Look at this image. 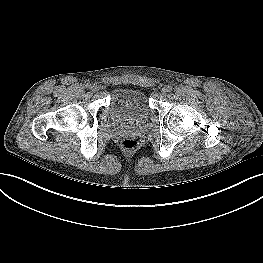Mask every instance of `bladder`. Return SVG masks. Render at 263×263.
Instances as JSON below:
<instances>
[{"instance_id": "obj_1", "label": "bladder", "mask_w": 263, "mask_h": 263, "mask_svg": "<svg viewBox=\"0 0 263 263\" xmlns=\"http://www.w3.org/2000/svg\"><path fill=\"white\" fill-rule=\"evenodd\" d=\"M109 114L112 120L120 125L145 122L150 116L145 93L139 89H115L110 99Z\"/></svg>"}]
</instances>
